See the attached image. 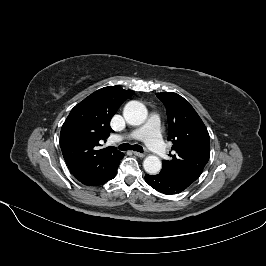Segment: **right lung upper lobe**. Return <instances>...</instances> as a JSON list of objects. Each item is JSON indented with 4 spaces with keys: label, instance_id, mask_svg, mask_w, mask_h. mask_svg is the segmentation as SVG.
Masks as SVG:
<instances>
[{
    "label": "right lung upper lobe",
    "instance_id": "1",
    "mask_svg": "<svg viewBox=\"0 0 266 266\" xmlns=\"http://www.w3.org/2000/svg\"><path fill=\"white\" fill-rule=\"evenodd\" d=\"M134 94L120 86L101 88L70 112L62 125L60 146L73 175L88 185L107 176L123 158L115 147L101 148L109 133L111 117Z\"/></svg>",
    "mask_w": 266,
    "mask_h": 266
}]
</instances>
